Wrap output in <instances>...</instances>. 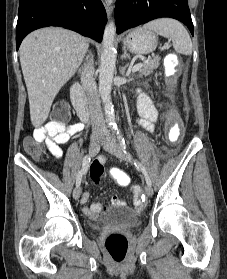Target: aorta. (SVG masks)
I'll list each match as a JSON object with an SVG mask.
<instances>
[{"mask_svg": "<svg viewBox=\"0 0 227 279\" xmlns=\"http://www.w3.org/2000/svg\"><path fill=\"white\" fill-rule=\"evenodd\" d=\"M116 28L114 22H110L106 27L102 41V54L99 69V93L104 103L107 122L115 126V114L111 101V89L113 75L116 65V53L114 48Z\"/></svg>", "mask_w": 227, "mask_h": 279, "instance_id": "762f6f07", "label": "aorta"}]
</instances>
